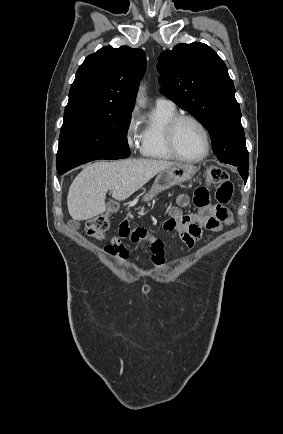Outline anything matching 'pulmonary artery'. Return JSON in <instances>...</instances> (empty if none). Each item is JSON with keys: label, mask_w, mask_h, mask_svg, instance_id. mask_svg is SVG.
Returning a JSON list of instances; mask_svg holds the SVG:
<instances>
[{"label": "pulmonary artery", "mask_w": 283, "mask_h": 434, "mask_svg": "<svg viewBox=\"0 0 283 434\" xmlns=\"http://www.w3.org/2000/svg\"><path fill=\"white\" fill-rule=\"evenodd\" d=\"M155 104L157 107H175L174 103L166 98H158Z\"/></svg>", "instance_id": "obj_1"}]
</instances>
